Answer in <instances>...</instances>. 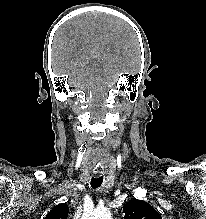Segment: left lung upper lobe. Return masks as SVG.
I'll return each instance as SVG.
<instances>
[{
  "label": "left lung upper lobe",
  "mask_w": 206,
  "mask_h": 219,
  "mask_svg": "<svg viewBox=\"0 0 206 219\" xmlns=\"http://www.w3.org/2000/svg\"><path fill=\"white\" fill-rule=\"evenodd\" d=\"M124 219H162L161 215L147 202L132 200L124 204Z\"/></svg>",
  "instance_id": "obj_1"
}]
</instances>
